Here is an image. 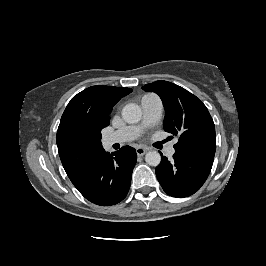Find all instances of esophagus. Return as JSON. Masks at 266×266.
I'll return each mask as SVG.
<instances>
[{
    "label": "esophagus",
    "instance_id": "34e87169",
    "mask_svg": "<svg viewBox=\"0 0 266 266\" xmlns=\"http://www.w3.org/2000/svg\"><path fill=\"white\" fill-rule=\"evenodd\" d=\"M147 152V148L144 147H137L136 153L138 156H143Z\"/></svg>",
    "mask_w": 266,
    "mask_h": 266
}]
</instances>
